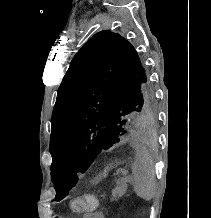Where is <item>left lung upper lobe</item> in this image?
I'll use <instances>...</instances> for the list:
<instances>
[{"mask_svg": "<svg viewBox=\"0 0 211 218\" xmlns=\"http://www.w3.org/2000/svg\"><path fill=\"white\" fill-rule=\"evenodd\" d=\"M154 92L130 42L108 30L76 53L58 89L49 150L59 201L103 150L154 122Z\"/></svg>", "mask_w": 211, "mask_h": 218, "instance_id": "left-lung-upper-lobe-1", "label": "left lung upper lobe"}]
</instances>
